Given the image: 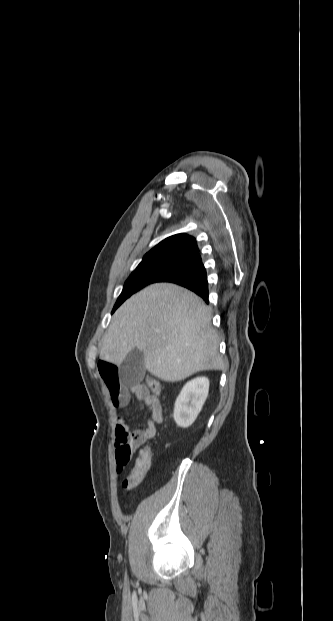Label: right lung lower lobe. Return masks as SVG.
Returning <instances> with one entry per match:
<instances>
[{
  "label": "right lung lower lobe",
  "instance_id": "obj_1",
  "mask_svg": "<svg viewBox=\"0 0 333 621\" xmlns=\"http://www.w3.org/2000/svg\"><path fill=\"white\" fill-rule=\"evenodd\" d=\"M158 282H171L190 289L208 303V282L205 267L198 253L189 257L173 272Z\"/></svg>",
  "mask_w": 333,
  "mask_h": 621
}]
</instances>
